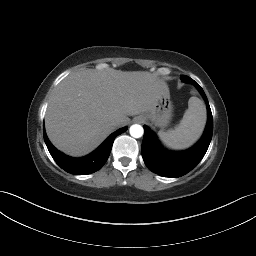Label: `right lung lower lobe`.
Returning a JSON list of instances; mask_svg holds the SVG:
<instances>
[{
    "mask_svg": "<svg viewBox=\"0 0 256 256\" xmlns=\"http://www.w3.org/2000/svg\"><path fill=\"white\" fill-rule=\"evenodd\" d=\"M126 130L127 127H123L115 131L94 152L82 158H72L58 151L47 138L45 129H43V136L51 156L62 169L71 174L85 175L96 172L105 164L114 139Z\"/></svg>",
    "mask_w": 256,
    "mask_h": 256,
    "instance_id": "98d812e1",
    "label": "right lung lower lobe"
}]
</instances>
